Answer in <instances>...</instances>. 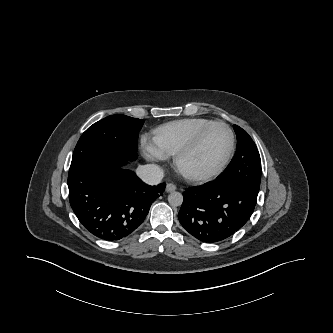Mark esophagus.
Instances as JSON below:
<instances>
[{
	"mask_svg": "<svg viewBox=\"0 0 333 333\" xmlns=\"http://www.w3.org/2000/svg\"><path fill=\"white\" fill-rule=\"evenodd\" d=\"M176 189H177V187L173 183H168L166 186V192H168V193L173 192Z\"/></svg>",
	"mask_w": 333,
	"mask_h": 333,
	"instance_id": "1",
	"label": "esophagus"
}]
</instances>
